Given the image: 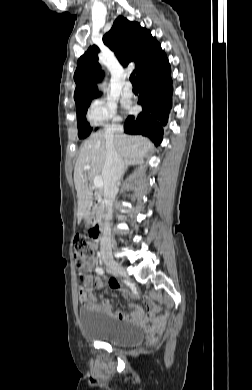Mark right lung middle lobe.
Here are the masks:
<instances>
[{"label": "right lung middle lobe", "instance_id": "obj_1", "mask_svg": "<svg viewBox=\"0 0 252 390\" xmlns=\"http://www.w3.org/2000/svg\"><path fill=\"white\" fill-rule=\"evenodd\" d=\"M89 105H90V103H87L80 108H76L77 109V127H78L79 138L87 137L92 131V128H90V126L86 120V117H85V113H86Z\"/></svg>", "mask_w": 252, "mask_h": 390}]
</instances>
